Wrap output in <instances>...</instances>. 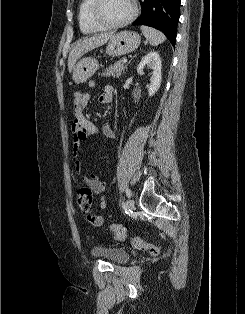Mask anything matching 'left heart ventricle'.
Here are the masks:
<instances>
[{"mask_svg": "<svg viewBox=\"0 0 245 314\" xmlns=\"http://www.w3.org/2000/svg\"><path fill=\"white\" fill-rule=\"evenodd\" d=\"M131 11L130 0H102L99 12L104 21L116 23L127 18Z\"/></svg>", "mask_w": 245, "mask_h": 314, "instance_id": "left-heart-ventricle-1", "label": "left heart ventricle"}]
</instances>
